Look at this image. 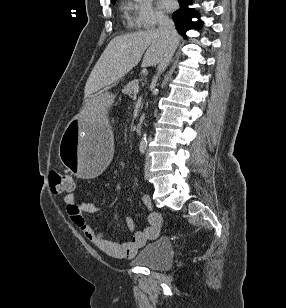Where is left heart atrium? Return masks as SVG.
I'll use <instances>...</instances> for the list:
<instances>
[{"mask_svg":"<svg viewBox=\"0 0 286 308\" xmlns=\"http://www.w3.org/2000/svg\"><path fill=\"white\" fill-rule=\"evenodd\" d=\"M158 5L164 10H172L175 7L174 0H158Z\"/></svg>","mask_w":286,"mask_h":308,"instance_id":"1","label":"left heart atrium"}]
</instances>
